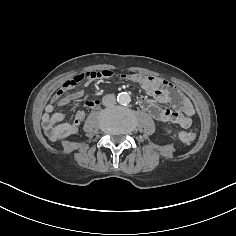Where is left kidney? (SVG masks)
<instances>
[{
	"label": "left kidney",
	"mask_w": 236,
	"mask_h": 236,
	"mask_svg": "<svg viewBox=\"0 0 236 236\" xmlns=\"http://www.w3.org/2000/svg\"><path fill=\"white\" fill-rule=\"evenodd\" d=\"M166 131H167V133H170V132H171V130H170V129H168V128H166Z\"/></svg>",
	"instance_id": "left-kidney-1"
}]
</instances>
